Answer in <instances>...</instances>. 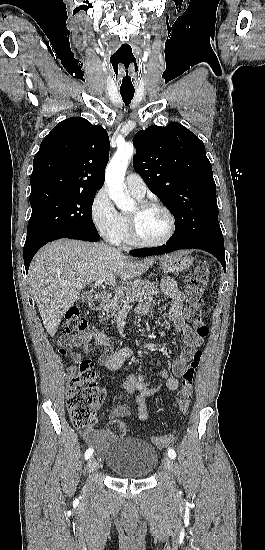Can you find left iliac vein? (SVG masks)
<instances>
[{"mask_svg":"<svg viewBox=\"0 0 265 550\" xmlns=\"http://www.w3.org/2000/svg\"><path fill=\"white\" fill-rule=\"evenodd\" d=\"M163 465H164V468L169 472L173 468L172 460L169 457H165Z\"/></svg>","mask_w":265,"mask_h":550,"instance_id":"1","label":"left iliac vein"}]
</instances>
